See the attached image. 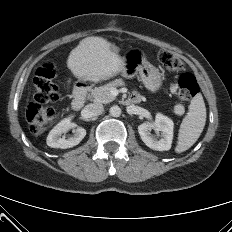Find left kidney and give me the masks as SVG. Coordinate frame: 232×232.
<instances>
[{"label":"left kidney","instance_id":"1","mask_svg":"<svg viewBox=\"0 0 232 232\" xmlns=\"http://www.w3.org/2000/svg\"><path fill=\"white\" fill-rule=\"evenodd\" d=\"M173 121L167 116L157 113L155 122H145L138 126V132L142 141L151 149L157 151H167L171 148L173 139ZM161 132V139L155 138L151 130Z\"/></svg>","mask_w":232,"mask_h":232}]
</instances>
